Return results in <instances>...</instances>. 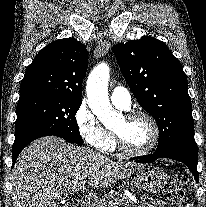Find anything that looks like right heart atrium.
<instances>
[{"label":"right heart atrium","instance_id":"1","mask_svg":"<svg viewBox=\"0 0 206 207\" xmlns=\"http://www.w3.org/2000/svg\"><path fill=\"white\" fill-rule=\"evenodd\" d=\"M74 120L80 136L89 146L103 152L111 151L113 137L102 126L86 100L80 102Z\"/></svg>","mask_w":206,"mask_h":207}]
</instances>
